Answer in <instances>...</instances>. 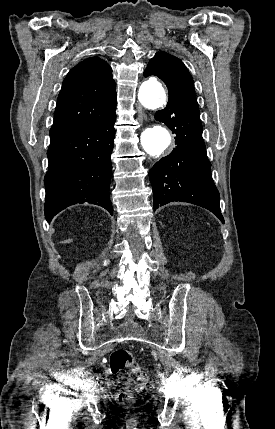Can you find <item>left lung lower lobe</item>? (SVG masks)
<instances>
[{
	"mask_svg": "<svg viewBox=\"0 0 275 429\" xmlns=\"http://www.w3.org/2000/svg\"><path fill=\"white\" fill-rule=\"evenodd\" d=\"M155 118L176 135L177 146L149 171L154 210L174 201L188 202L210 210L224 223L197 101L188 95L170 96L166 108L156 112Z\"/></svg>",
	"mask_w": 275,
	"mask_h": 429,
	"instance_id": "0a47b994",
	"label": "left lung lower lobe"
}]
</instances>
